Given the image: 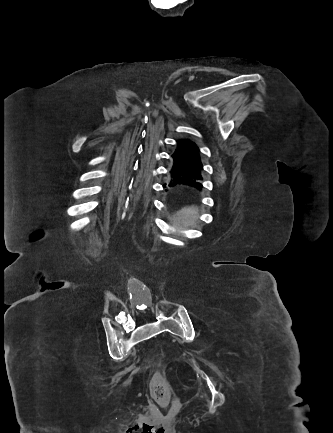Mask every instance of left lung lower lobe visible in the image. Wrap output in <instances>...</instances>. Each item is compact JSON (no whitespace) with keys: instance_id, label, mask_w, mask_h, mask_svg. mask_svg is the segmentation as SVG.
<instances>
[{"instance_id":"left-lung-lower-lobe-1","label":"left lung lower lobe","mask_w":333,"mask_h":433,"mask_svg":"<svg viewBox=\"0 0 333 433\" xmlns=\"http://www.w3.org/2000/svg\"><path fill=\"white\" fill-rule=\"evenodd\" d=\"M172 155L173 166L170 171L173 183L198 185L195 180L202 179V162L199 149L192 144L179 140Z\"/></svg>"}]
</instances>
